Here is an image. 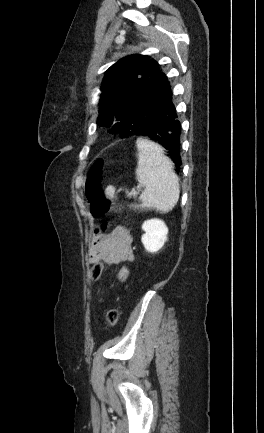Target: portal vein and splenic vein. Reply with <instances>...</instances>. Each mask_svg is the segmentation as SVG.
Returning a JSON list of instances; mask_svg holds the SVG:
<instances>
[{
    "instance_id": "1",
    "label": "portal vein and splenic vein",
    "mask_w": 264,
    "mask_h": 433,
    "mask_svg": "<svg viewBox=\"0 0 264 433\" xmlns=\"http://www.w3.org/2000/svg\"><path fill=\"white\" fill-rule=\"evenodd\" d=\"M141 187H142L141 185L138 186L139 189H140ZM135 194H136L135 191L130 192V195H135Z\"/></svg>"
}]
</instances>
